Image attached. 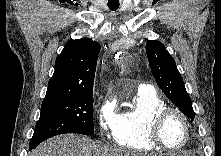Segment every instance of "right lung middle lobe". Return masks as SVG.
I'll use <instances>...</instances> for the list:
<instances>
[{"label":"right lung middle lobe","mask_w":221,"mask_h":156,"mask_svg":"<svg viewBox=\"0 0 221 156\" xmlns=\"http://www.w3.org/2000/svg\"><path fill=\"white\" fill-rule=\"evenodd\" d=\"M92 110L93 91L63 98L44 99L29 149L59 134H94Z\"/></svg>","instance_id":"right-lung-middle-lobe-1"}]
</instances>
